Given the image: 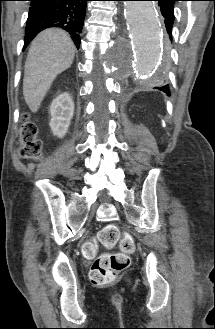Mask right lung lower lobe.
Instances as JSON below:
<instances>
[{
	"mask_svg": "<svg viewBox=\"0 0 215 329\" xmlns=\"http://www.w3.org/2000/svg\"><path fill=\"white\" fill-rule=\"evenodd\" d=\"M31 7L27 19L24 48L42 30L60 27L71 34L77 48L89 0H29Z\"/></svg>",
	"mask_w": 215,
	"mask_h": 329,
	"instance_id": "right-lung-lower-lobe-1",
	"label": "right lung lower lobe"
}]
</instances>
